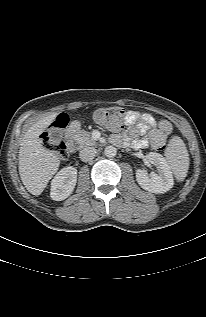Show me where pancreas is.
I'll list each match as a JSON object with an SVG mask.
<instances>
[{
  "label": "pancreas",
  "instance_id": "1",
  "mask_svg": "<svg viewBox=\"0 0 206 317\" xmlns=\"http://www.w3.org/2000/svg\"><path fill=\"white\" fill-rule=\"evenodd\" d=\"M72 138L80 147L93 146L96 143L90 133L83 130H73Z\"/></svg>",
  "mask_w": 206,
  "mask_h": 317
}]
</instances>
